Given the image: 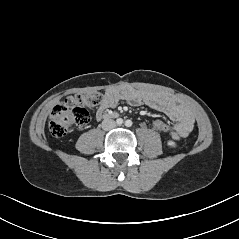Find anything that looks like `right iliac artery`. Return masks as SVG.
Returning a JSON list of instances; mask_svg holds the SVG:
<instances>
[{"instance_id":"82829eb1","label":"right iliac artery","mask_w":239,"mask_h":239,"mask_svg":"<svg viewBox=\"0 0 239 239\" xmlns=\"http://www.w3.org/2000/svg\"><path fill=\"white\" fill-rule=\"evenodd\" d=\"M116 122H117L118 125H122L123 124V120L121 118H118L116 120Z\"/></svg>"}]
</instances>
